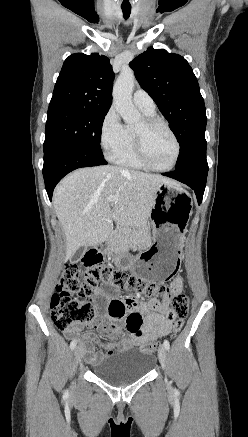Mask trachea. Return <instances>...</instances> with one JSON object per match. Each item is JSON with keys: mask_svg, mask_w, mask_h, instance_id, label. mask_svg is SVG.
I'll use <instances>...</instances> for the list:
<instances>
[{"mask_svg": "<svg viewBox=\"0 0 248 437\" xmlns=\"http://www.w3.org/2000/svg\"><path fill=\"white\" fill-rule=\"evenodd\" d=\"M123 16L125 19H128L131 13V7L130 8H123L122 7Z\"/></svg>", "mask_w": 248, "mask_h": 437, "instance_id": "1", "label": "trachea"}]
</instances>
